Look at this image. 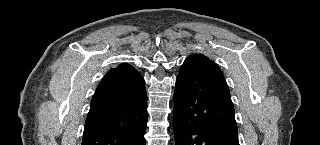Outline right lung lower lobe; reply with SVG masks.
<instances>
[{"instance_id": "98d812e1", "label": "right lung lower lobe", "mask_w": 320, "mask_h": 145, "mask_svg": "<svg viewBox=\"0 0 320 145\" xmlns=\"http://www.w3.org/2000/svg\"><path fill=\"white\" fill-rule=\"evenodd\" d=\"M120 101L88 115L82 145H145L147 96L141 77L119 91Z\"/></svg>"}]
</instances>
